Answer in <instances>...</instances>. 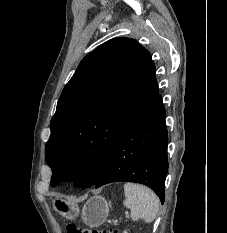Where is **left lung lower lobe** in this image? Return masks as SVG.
Wrapping results in <instances>:
<instances>
[{"mask_svg": "<svg viewBox=\"0 0 227 233\" xmlns=\"http://www.w3.org/2000/svg\"><path fill=\"white\" fill-rule=\"evenodd\" d=\"M167 145L165 109L158 95L121 134L95 187L122 181L141 183L154 190L163 204Z\"/></svg>", "mask_w": 227, "mask_h": 233, "instance_id": "left-lung-lower-lobe-1", "label": "left lung lower lobe"}]
</instances>
